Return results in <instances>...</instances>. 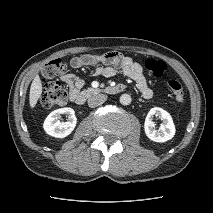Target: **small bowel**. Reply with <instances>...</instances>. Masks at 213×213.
<instances>
[{
	"instance_id": "c3829d8e",
	"label": "small bowel",
	"mask_w": 213,
	"mask_h": 213,
	"mask_svg": "<svg viewBox=\"0 0 213 213\" xmlns=\"http://www.w3.org/2000/svg\"><path fill=\"white\" fill-rule=\"evenodd\" d=\"M70 65L74 69L88 66L94 67V74L96 76L106 78L113 77L119 70L136 82L143 98L150 99L153 96V91L147 83L142 66L132 58L124 56L119 52H108L98 55L82 54L71 58ZM61 80L67 85L69 97L74 101L76 94L84 86L85 80L73 73H64L61 76Z\"/></svg>"
}]
</instances>
